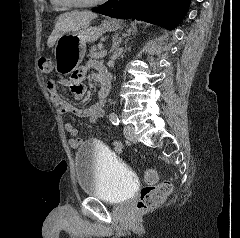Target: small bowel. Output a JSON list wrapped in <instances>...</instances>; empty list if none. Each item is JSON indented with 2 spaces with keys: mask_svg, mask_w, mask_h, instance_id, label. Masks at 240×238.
<instances>
[{
  "mask_svg": "<svg viewBox=\"0 0 240 238\" xmlns=\"http://www.w3.org/2000/svg\"><path fill=\"white\" fill-rule=\"evenodd\" d=\"M89 67H94L97 69L99 75L101 72H106L101 64L97 62H91L88 66L83 67L81 70H77L71 79H61L59 84L63 87L69 88L75 98L81 99L85 94V87L81 82V77L88 71ZM47 90L50 94L52 102L62 114L72 113L77 117H88L91 123H95L104 116V106L106 103L105 100L98 99L92 106L88 108H79L60 96L57 84L54 80H49L47 82ZM64 127L70 135L69 145L74 149L79 148L82 145L83 140L77 137L78 129L71 122H66ZM113 146L115 149V154H124L125 150L122 148H127L128 144H119L118 142H114Z\"/></svg>",
  "mask_w": 240,
  "mask_h": 238,
  "instance_id": "1",
  "label": "small bowel"
}]
</instances>
